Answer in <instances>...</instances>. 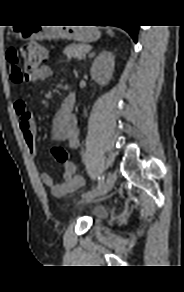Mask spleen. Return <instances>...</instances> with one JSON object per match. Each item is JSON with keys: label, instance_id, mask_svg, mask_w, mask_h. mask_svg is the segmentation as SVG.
Masks as SVG:
<instances>
[{"label": "spleen", "instance_id": "obj_1", "mask_svg": "<svg viewBox=\"0 0 184 292\" xmlns=\"http://www.w3.org/2000/svg\"><path fill=\"white\" fill-rule=\"evenodd\" d=\"M107 33H108L110 36H113V35H114V33H113V31H112L111 29H107Z\"/></svg>", "mask_w": 184, "mask_h": 292}]
</instances>
